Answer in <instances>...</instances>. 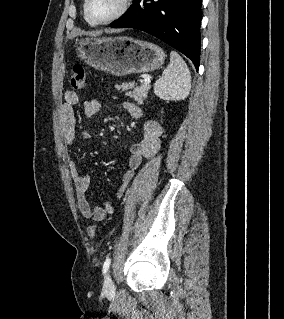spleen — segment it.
I'll list each match as a JSON object with an SVG mask.
<instances>
[{
    "mask_svg": "<svg viewBox=\"0 0 284 319\" xmlns=\"http://www.w3.org/2000/svg\"><path fill=\"white\" fill-rule=\"evenodd\" d=\"M191 89L189 69L176 52L170 53V64L154 85V93L163 100H184Z\"/></svg>",
    "mask_w": 284,
    "mask_h": 319,
    "instance_id": "obj_1",
    "label": "spleen"
}]
</instances>
